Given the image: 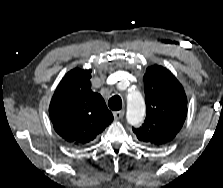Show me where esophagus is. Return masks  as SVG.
Wrapping results in <instances>:
<instances>
[{
	"instance_id": "34e87169",
	"label": "esophagus",
	"mask_w": 223,
	"mask_h": 188,
	"mask_svg": "<svg viewBox=\"0 0 223 188\" xmlns=\"http://www.w3.org/2000/svg\"><path fill=\"white\" fill-rule=\"evenodd\" d=\"M113 116H114V119L115 120H119V119L123 118V116H124V110L115 111L113 113Z\"/></svg>"
}]
</instances>
